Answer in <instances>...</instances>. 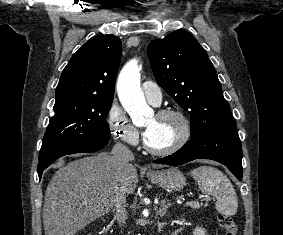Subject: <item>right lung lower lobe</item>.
<instances>
[{
	"instance_id": "obj_1",
	"label": "right lung lower lobe",
	"mask_w": 283,
	"mask_h": 235,
	"mask_svg": "<svg viewBox=\"0 0 283 235\" xmlns=\"http://www.w3.org/2000/svg\"><path fill=\"white\" fill-rule=\"evenodd\" d=\"M109 139H110V136L95 137V138H92L86 141L73 142L71 144H68L66 146H63L53 151L52 153L47 155L45 158L39 160V164L37 167L39 178H41L43 171L53 161L60 158L61 156L68 155V154H74V153H80V152H93V151L99 150L107 144Z\"/></svg>"
}]
</instances>
